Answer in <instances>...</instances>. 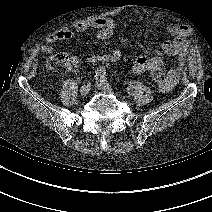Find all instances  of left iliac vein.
<instances>
[{
	"label": "left iliac vein",
	"mask_w": 212,
	"mask_h": 212,
	"mask_svg": "<svg viewBox=\"0 0 212 212\" xmlns=\"http://www.w3.org/2000/svg\"><path fill=\"white\" fill-rule=\"evenodd\" d=\"M96 86L99 90L104 92H113V88L106 82H103L101 79L97 81Z\"/></svg>",
	"instance_id": "left-iliac-vein-1"
}]
</instances>
